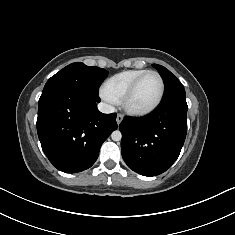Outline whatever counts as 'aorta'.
<instances>
[{"label":"aorta","instance_id":"1","mask_svg":"<svg viewBox=\"0 0 235 235\" xmlns=\"http://www.w3.org/2000/svg\"><path fill=\"white\" fill-rule=\"evenodd\" d=\"M111 138L113 141H120L122 138V134L119 130H115L112 132Z\"/></svg>","mask_w":235,"mask_h":235}]
</instances>
